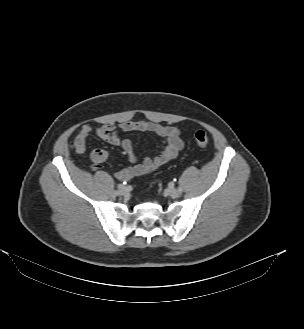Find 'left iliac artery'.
<instances>
[{
	"label": "left iliac artery",
	"mask_w": 304,
	"mask_h": 329,
	"mask_svg": "<svg viewBox=\"0 0 304 329\" xmlns=\"http://www.w3.org/2000/svg\"><path fill=\"white\" fill-rule=\"evenodd\" d=\"M178 191H179V192H181V191H182V188H181V187H179V188H178Z\"/></svg>",
	"instance_id": "1"
}]
</instances>
